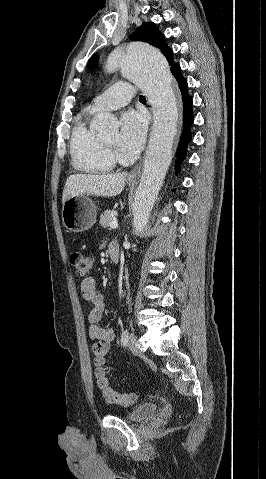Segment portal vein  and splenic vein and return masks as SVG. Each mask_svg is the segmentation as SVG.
Masks as SVG:
<instances>
[{
	"label": "portal vein and splenic vein",
	"instance_id": "portal-vein-and-splenic-vein-1",
	"mask_svg": "<svg viewBox=\"0 0 266 479\" xmlns=\"http://www.w3.org/2000/svg\"><path fill=\"white\" fill-rule=\"evenodd\" d=\"M110 227H111L112 229L117 228V227H118L117 221H112V222L110 223Z\"/></svg>",
	"mask_w": 266,
	"mask_h": 479
}]
</instances>
